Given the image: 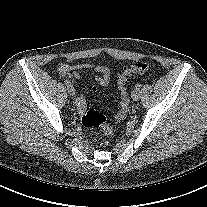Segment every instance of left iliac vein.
<instances>
[{"label":"left iliac vein","instance_id":"left-iliac-vein-1","mask_svg":"<svg viewBox=\"0 0 207 207\" xmlns=\"http://www.w3.org/2000/svg\"><path fill=\"white\" fill-rule=\"evenodd\" d=\"M131 97H132V99L134 100V101H137L139 98H140V91H139V89H134L133 91H132V94H131Z\"/></svg>","mask_w":207,"mask_h":207}]
</instances>
